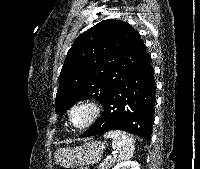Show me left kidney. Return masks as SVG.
<instances>
[{"mask_svg":"<svg viewBox=\"0 0 200 169\" xmlns=\"http://www.w3.org/2000/svg\"><path fill=\"white\" fill-rule=\"evenodd\" d=\"M113 169H140V165L138 162L127 160L117 163Z\"/></svg>","mask_w":200,"mask_h":169,"instance_id":"obj_1","label":"left kidney"}]
</instances>
